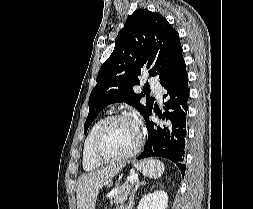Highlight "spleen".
<instances>
[{
  "mask_svg": "<svg viewBox=\"0 0 253 209\" xmlns=\"http://www.w3.org/2000/svg\"><path fill=\"white\" fill-rule=\"evenodd\" d=\"M135 166L144 176L153 179L160 178L165 170L164 164L156 159L144 160Z\"/></svg>",
  "mask_w": 253,
  "mask_h": 209,
  "instance_id": "1",
  "label": "spleen"
}]
</instances>
